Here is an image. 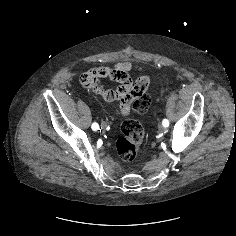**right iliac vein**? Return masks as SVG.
<instances>
[{
  "label": "right iliac vein",
  "mask_w": 236,
  "mask_h": 236,
  "mask_svg": "<svg viewBox=\"0 0 236 236\" xmlns=\"http://www.w3.org/2000/svg\"><path fill=\"white\" fill-rule=\"evenodd\" d=\"M107 127V124L105 122L101 123V129H105Z\"/></svg>",
  "instance_id": "obj_1"
}]
</instances>
